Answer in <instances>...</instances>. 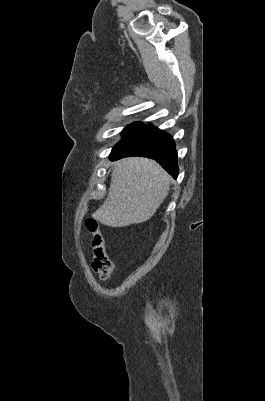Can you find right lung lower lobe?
<instances>
[{
  "label": "right lung lower lobe",
  "instance_id": "98d812e1",
  "mask_svg": "<svg viewBox=\"0 0 265 401\" xmlns=\"http://www.w3.org/2000/svg\"><path fill=\"white\" fill-rule=\"evenodd\" d=\"M123 134L125 136L113 147L110 160L129 156L148 157L177 178V151L171 135L150 124H139Z\"/></svg>",
  "mask_w": 265,
  "mask_h": 401
}]
</instances>
